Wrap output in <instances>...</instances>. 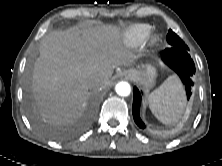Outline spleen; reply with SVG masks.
I'll return each instance as SVG.
<instances>
[{"instance_id": "1", "label": "spleen", "mask_w": 222, "mask_h": 166, "mask_svg": "<svg viewBox=\"0 0 222 166\" xmlns=\"http://www.w3.org/2000/svg\"><path fill=\"white\" fill-rule=\"evenodd\" d=\"M148 103L152 113L163 124L177 122L185 107L184 88L177 76H169L148 96Z\"/></svg>"}]
</instances>
